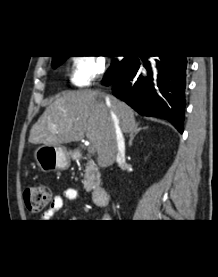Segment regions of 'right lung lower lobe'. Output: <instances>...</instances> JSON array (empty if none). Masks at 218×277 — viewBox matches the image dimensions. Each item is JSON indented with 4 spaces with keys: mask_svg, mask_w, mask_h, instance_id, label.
I'll use <instances>...</instances> for the list:
<instances>
[{
    "mask_svg": "<svg viewBox=\"0 0 218 277\" xmlns=\"http://www.w3.org/2000/svg\"><path fill=\"white\" fill-rule=\"evenodd\" d=\"M133 57L112 83V93L138 113L170 121L183 132L186 56H154L151 61ZM141 60L144 64L141 63ZM143 70V73H139Z\"/></svg>",
    "mask_w": 218,
    "mask_h": 277,
    "instance_id": "right-lung-lower-lobe-1",
    "label": "right lung lower lobe"
}]
</instances>
